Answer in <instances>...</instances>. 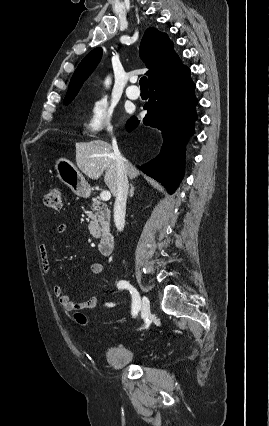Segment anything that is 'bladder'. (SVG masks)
<instances>
[{"instance_id": "31cf9c89", "label": "bladder", "mask_w": 269, "mask_h": 426, "mask_svg": "<svg viewBox=\"0 0 269 426\" xmlns=\"http://www.w3.org/2000/svg\"><path fill=\"white\" fill-rule=\"evenodd\" d=\"M103 357L109 367L117 369L134 362L138 358V354L130 347L112 345L105 350Z\"/></svg>"}]
</instances>
